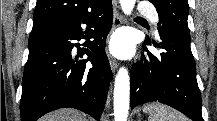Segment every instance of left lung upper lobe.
I'll return each instance as SVG.
<instances>
[{"label":"left lung upper lobe","instance_id":"left-lung-upper-lobe-1","mask_svg":"<svg viewBox=\"0 0 217 121\" xmlns=\"http://www.w3.org/2000/svg\"><path fill=\"white\" fill-rule=\"evenodd\" d=\"M149 1L156 7L159 15V32L162 26H167L190 40V31L187 24L188 0Z\"/></svg>","mask_w":217,"mask_h":121}]
</instances>
